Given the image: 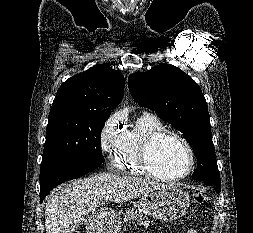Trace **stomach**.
Here are the masks:
<instances>
[{
    "instance_id": "0dacf381",
    "label": "stomach",
    "mask_w": 253,
    "mask_h": 233,
    "mask_svg": "<svg viewBox=\"0 0 253 233\" xmlns=\"http://www.w3.org/2000/svg\"><path fill=\"white\" fill-rule=\"evenodd\" d=\"M189 206V195L175 186H164L146 193L140 207L146 214L163 221L182 217ZM118 227L104 228L103 233H117Z\"/></svg>"
}]
</instances>
